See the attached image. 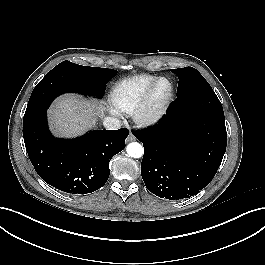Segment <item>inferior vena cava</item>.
I'll return each instance as SVG.
<instances>
[{
	"instance_id": "1",
	"label": "inferior vena cava",
	"mask_w": 265,
	"mask_h": 265,
	"mask_svg": "<svg viewBox=\"0 0 265 265\" xmlns=\"http://www.w3.org/2000/svg\"><path fill=\"white\" fill-rule=\"evenodd\" d=\"M103 125L106 129L117 130L121 128L122 123L116 117H106L104 118Z\"/></svg>"
}]
</instances>
